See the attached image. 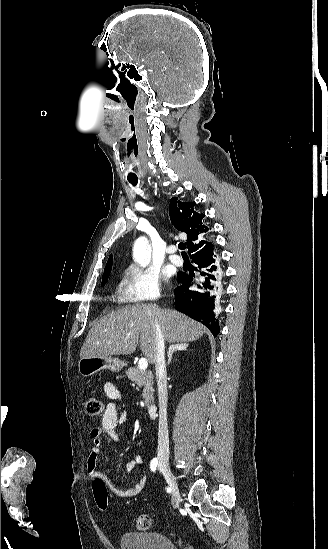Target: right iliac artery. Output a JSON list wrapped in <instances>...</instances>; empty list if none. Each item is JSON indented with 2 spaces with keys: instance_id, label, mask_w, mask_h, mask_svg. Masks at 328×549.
<instances>
[{
  "instance_id": "1",
  "label": "right iliac artery",
  "mask_w": 328,
  "mask_h": 549,
  "mask_svg": "<svg viewBox=\"0 0 328 549\" xmlns=\"http://www.w3.org/2000/svg\"><path fill=\"white\" fill-rule=\"evenodd\" d=\"M157 465H158V460H157V458H154V459L151 461V463H150V468H151V470H152V471H155Z\"/></svg>"
}]
</instances>
